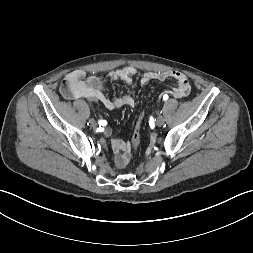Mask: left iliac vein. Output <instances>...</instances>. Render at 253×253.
Here are the masks:
<instances>
[{
    "label": "left iliac vein",
    "mask_w": 253,
    "mask_h": 253,
    "mask_svg": "<svg viewBox=\"0 0 253 253\" xmlns=\"http://www.w3.org/2000/svg\"><path fill=\"white\" fill-rule=\"evenodd\" d=\"M155 122L157 126H162L165 123V119L163 116H158Z\"/></svg>",
    "instance_id": "1"
}]
</instances>
